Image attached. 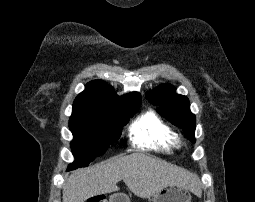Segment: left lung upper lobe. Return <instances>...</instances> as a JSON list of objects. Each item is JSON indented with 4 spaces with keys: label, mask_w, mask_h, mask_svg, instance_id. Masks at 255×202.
Returning <instances> with one entry per match:
<instances>
[{
    "label": "left lung upper lobe",
    "mask_w": 255,
    "mask_h": 202,
    "mask_svg": "<svg viewBox=\"0 0 255 202\" xmlns=\"http://www.w3.org/2000/svg\"><path fill=\"white\" fill-rule=\"evenodd\" d=\"M146 98L153 105L159 106L157 111L172 124L183 129L191 142H195L196 119L195 115L190 111V103L186 96L176 94L174 86L162 84L154 89L153 92L147 93Z\"/></svg>",
    "instance_id": "5c2ea615"
}]
</instances>
